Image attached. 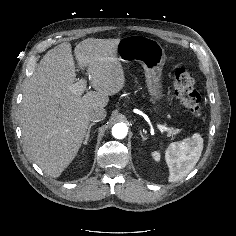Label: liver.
Returning a JSON list of instances; mask_svg holds the SVG:
<instances>
[{"label": "liver", "mask_w": 236, "mask_h": 236, "mask_svg": "<svg viewBox=\"0 0 236 236\" xmlns=\"http://www.w3.org/2000/svg\"><path fill=\"white\" fill-rule=\"evenodd\" d=\"M119 39L88 38L75 47L81 69L86 68L96 91L72 92L76 64L71 44L49 50L30 77L20 108L23 140L31 159L49 176L57 178L76 157L89 127L87 113L105 107L108 96L125 85L117 56Z\"/></svg>", "instance_id": "liver-1"}]
</instances>
